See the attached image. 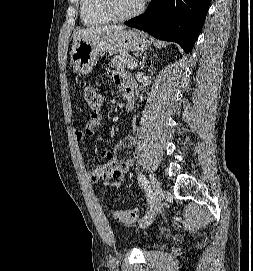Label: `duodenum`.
<instances>
[{
  "label": "duodenum",
  "instance_id": "obj_1",
  "mask_svg": "<svg viewBox=\"0 0 253 271\" xmlns=\"http://www.w3.org/2000/svg\"><path fill=\"white\" fill-rule=\"evenodd\" d=\"M135 106V96L133 92H126L125 110L131 111Z\"/></svg>",
  "mask_w": 253,
  "mask_h": 271
}]
</instances>
